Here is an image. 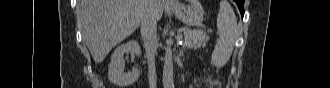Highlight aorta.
Listing matches in <instances>:
<instances>
[{
    "label": "aorta",
    "instance_id": "1",
    "mask_svg": "<svg viewBox=\"0 0 330 88\" xmlns=\"http://www.w3.org/2000/svg\"><path fill=\"white\" fill-rule=\"evenodd\" d=\"M166 44L167 47L163 67V86L164 88H174L171 42L167 40Z\"/></svg>",
    "mask_w": 330,
    "mask_h": 88
}]
</instances>
